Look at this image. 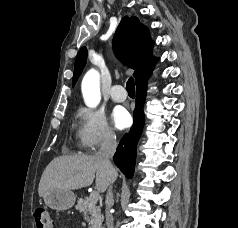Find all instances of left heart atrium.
Segmentation results:
<instances>
[{
  "label": "left heart atrium",
  "instance_id": "39dd6f15",
  "mask_svg": "<svg viewBox=\"0 0 238 228\" xmlns=\"http://www.w3.org/2000/svg\"><path fill=\"white\" fill-rule=\"evenodd\" d=\"M112 120L116 128L124 129L131 123L129 113L122 107L115 108L112 113Z\"/></svg>",
  "mask_w": 238,
  "mask_h": 228
}]
</instances>
